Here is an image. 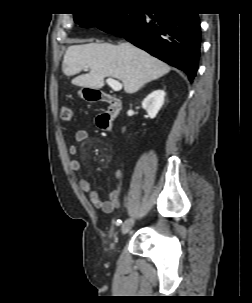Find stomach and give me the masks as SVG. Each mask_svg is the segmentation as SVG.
<instances>
[{
  "mask_svg": "<svg viewBox=\"0 0 252 303\" xmlns=\"http://www.w3.org/2000/svg\"><path fill=\"white\" fill-rule=\"evenodd\" d=\"M87 88H83L79 91V95L82 97V98H85V91H86Z\"/></svg>",
  "mask_w": 252,
  "mask_h": 303,
  "instance_id": "obj_1",
  "label": "stomach"
}]
</instances>
